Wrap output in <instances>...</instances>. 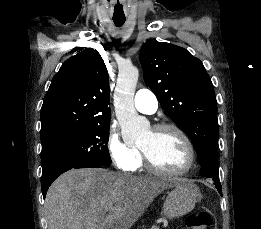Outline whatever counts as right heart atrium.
I'll return each mask as SVG.
<instances>
[{"instance_id":"right-heart-atrium-1","label":"right heart atrium","mask_w":261,"mask_h":229,"mask_svg":"<svg viewBox=\"0 0 261 229\" xmlns=\"http://www.w3.org/2000/svg\"><path fill=\"white\" fill-rule=\"evenodd\" d=\"M106 148L114 166L123 171H134L141 160L138 148L124 141L118 130L110 127L106 139Z\"/></svg>"}]
</instances>
